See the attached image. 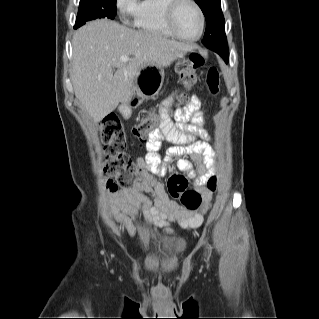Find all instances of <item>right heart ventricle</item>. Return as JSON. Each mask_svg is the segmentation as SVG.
<instances>
[{"mask_svg":"<svg viewBox=\"0 0 319 319\" xmlns=\"http://www.w3.org/2000/svg\"><path fill=\"white\" fill-rule=\"evenodd\" d=\"M167 0H142L133 14L135 25L142 31L163 37H172L164 19Z\"/></svg>","mask_w":319,"mask_h":319,"instance_id":"1","label":"right heart ventricle"}]
</instances>
